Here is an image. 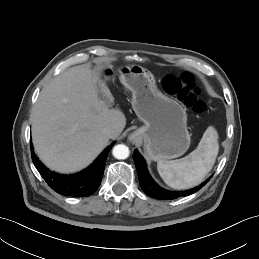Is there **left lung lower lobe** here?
Segmentation results:
<instances>
[{
    "label": "left lung lower lobe",
    "mask_w": 259,
    "mask_h": 259,
    "mask_svg": "<svg viewBox=\"0 0 259 259\" xmlns=\"http://www.w3.org/2000/svg\"><path fill=\"white\" fill-rule=\"evenodd\" d=\"M133 158L135 161L138 178H139V182L142 190L145 192V194L155 199L172 200L178 197L188 196L200 190L209 181L208 179L200 186H197L193 189L186 190V191H179V192L168 191L158 186L152 180V178L148 174L146 163L143 157L140 155V153L137 150L134 151Z\"/></svg>",
    "instance_id": "1"
}]
</instances>
